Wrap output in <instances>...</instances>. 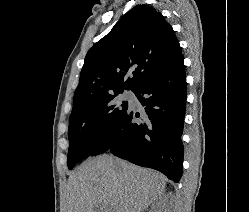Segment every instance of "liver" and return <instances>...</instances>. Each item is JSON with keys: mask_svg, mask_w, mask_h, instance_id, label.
Instances as JSON below:
<instances>
[{"mask_svg": "<svg viewBox=\"0 0 249 212\" xmlns=\"http://www.w3.org/2000/svg\"><path fill=\"white\" fill-rule=\"evenodd\" d=\"M163 174L134 166L109 154L88 158L69 176L67 212H145L163 196Z\"/></svg>", "mask_w": 249, "mask_h": 212, "instance_id": "obj_1", "label": "liver"}]
</instances>
